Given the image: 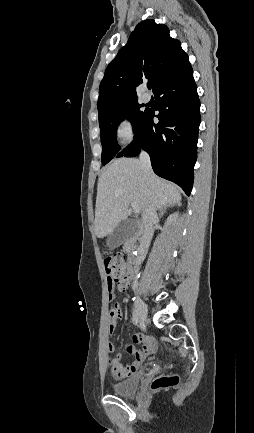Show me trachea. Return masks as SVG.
<instances>
[{
    "label": "trachea",
    "instance_id": "obj_1",
    "mask_svg": "<svg viewBox=\"0 0 254 433\" xmlns=\"http://www.w3.org/2000/svg\"><path fill=\"white\" fill-rule=\"evenodd\" d=\"M147 88L150 90L151 89V85H147Z\"/></svg>",
    "mask_w": 254,
    "mask_h": 433
}]
</instances>
